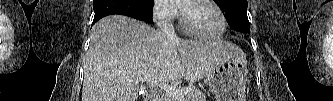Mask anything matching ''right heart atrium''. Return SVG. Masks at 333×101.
<instances>
[{
  "instance_id": "obj_1",
  "label": "right heart atrium",
  "mask_w": 333,
  "mask_h": 101,
  "mask_svg": "<svg viewBox=\"0 0 333 101\" xmlns=\"http://www.w3.org/2000/svg\"><path fill=\"white\" fill-rule=\"evenodd\" d=\"M152 15L157 25L166 26L176 19L178 11L174 3L170 0H155Z\"/></svg>"
}]
</instances>
